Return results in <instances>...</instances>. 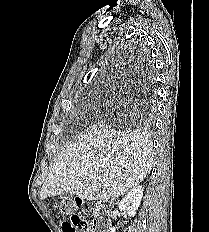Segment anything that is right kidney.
<instances>
[{"label": "right kidney", "mask_w": 209, "mask_h": 232, "mask_svg": "<svg viewBox=\"0 0 209 232\" xmlns=\"http://www.w3.org/2000/svg\"><path fill=\"white\" fill-rule=\"evenodd\" d=\"M143 187L136 186L132 188L124 198L119 202V209L126 212L130 217H134L143 197ZM115 227L110 228V232H115Z\"/></svg>", "instance_id": "1"}]
</instances>
